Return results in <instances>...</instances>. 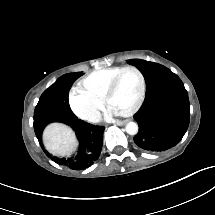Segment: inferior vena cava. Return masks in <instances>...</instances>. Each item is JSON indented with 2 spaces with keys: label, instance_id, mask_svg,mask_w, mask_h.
<instances>
[{
  "label": "inferior vena cava",
  "instance_id": "obj_1",
  "mask_svg": "<svg viewBox=\"0 0 215 215\" xmlns=\"http://www.w3.org/2000/svg\"><path fill=\"white\" fill-rule=\"evenodd\" d=\"M85 119L92 123H97L101 120V113L99 111H93L84 115Z\"/></svg>",
  "mask_w": 215,
  "mask_h": 215
}]
</instances>
